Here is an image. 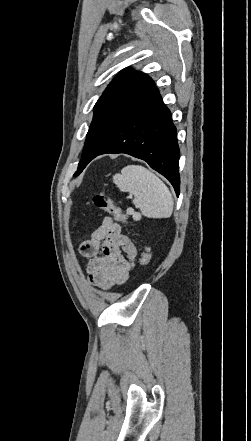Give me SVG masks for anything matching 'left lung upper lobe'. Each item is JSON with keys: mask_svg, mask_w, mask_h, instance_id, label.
<instances>
[{"mask_svg": "<svg viewBox=\"0 0 251 441\" xmlns=\"http://www.w3.org/2000/svg\"><path fill=\"white\" fill-rule=\"evenodd\" d=\"M154 87L153 80L146 74L128 68L122 70L95 104L92 123L105 115L127 114L136 101ZM82 166L83 153L74 176L82 172Z\"/></svg>", "mask_w": 251, "mask_h": 441, "instance_id": "1", "label": "left lung upper lobe"}]
</instances>
